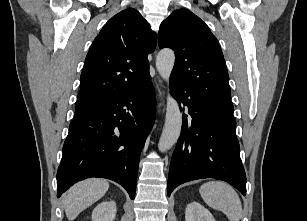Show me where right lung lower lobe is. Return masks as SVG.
<instances>
[{
    "label": "right lung lower lobe",
    "instance_id": "obj_1",
    "mask_svg": "<svg viewBox=\"0 0 307 221\" xmlns=\"http://www.w3.org/2000/svg\"><path fill=\"white\" fill-rule=\"evenodd\" d=\"M155 109L149 76L142 87L74 117L58 167L57 197L78 181L102 177L122 185L134 199L140 154Z\"/></svg>",
    "mask_w": 307,
    "mask_h": 221
}]
</instances>
